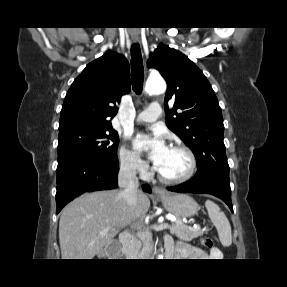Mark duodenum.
<instances>
[{
  "label": "duodenum",
  "instance_id": "duodenum-1",
  "mask_svg": "<svg viewBox=\"0 0 287 287\" xmlns=\"http://www.w3.org/2000/svg\"><path fill=\"white\" fill-rule=\"evenodd\" d=\"M119 241H120V244H121V247H122V253L124 255H129L130 254V243H131V234L129 231H122L120 233V236H119ZM105 251L109 254V255H114L112 254V251L109 247H107L105 249ZM118 253V252H117ZM166 254L168 257H172V255L169 253L168 249L166 250Z\"/></svg>",
  "mask_w": 287,
  "mask_h": 287
}]
</instances>
